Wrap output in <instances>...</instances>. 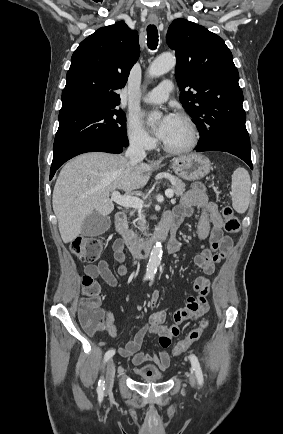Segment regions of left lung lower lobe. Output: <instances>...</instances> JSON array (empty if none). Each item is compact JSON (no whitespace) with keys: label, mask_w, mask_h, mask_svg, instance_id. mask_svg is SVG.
Listing matches in <instances>:
<instances>
[{"label":"left lung lower lobe","mask_w":283,"mask_h":434,"mask_svg":"<svg viewBox=\"0 0 283 434\" xmlns=\"http://www.w3.org/2000/svg\"><path fill=\"white\" fill-rule=\"evenodd\" d=\"M209 150L210 149L203 148V147H198L197 148L198 152L209 151ZM219 151H225V152L231 153V154L239 157L240 159H242L243 161H245L250 166L251 169H253V165H252V161H251V155L244 154V153H241V152H238V151H232V150H219Z\"/></svg>","instance_id":"obj_1"}]
</instances>
